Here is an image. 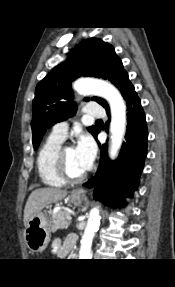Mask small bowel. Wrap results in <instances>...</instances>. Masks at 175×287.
Wrapping results in <instances>:
<instances>
[{"label":"small bowel","mask_w":175,"mask_h":287,"mask_svg":"<svg viewBox=\"0 0 175 287\" xmlns=\"http://www.w3.org/2000/svg\"><path fill=\"white\" fill-rule=\"evenodd\" d=\"M77 238L74 235L67 237L64 243H61L59 239L53 241L51 245V251L59 258H65L70 253L73 245L76 243Z\"/></svg>","instance_id":"small-bowel-1"}]
</instances>
